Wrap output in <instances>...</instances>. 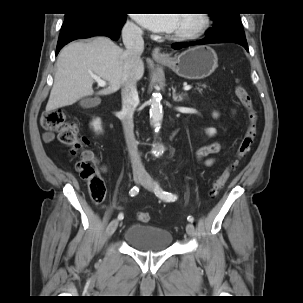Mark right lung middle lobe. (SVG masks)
I'll use <instances>...</instances> for the list:
<instances>
[{"label":"right lung middle lobe","instance_id":"obj_1","mask_svg":"<svg viewBox=\"0 0 303 303\" xmlns=\"http://www.w3.org/2000/svg\"><path fill=\"white\" fill-rule=\"evenodd\" d=\"M91 12H96V13H100L99 11L97 10H90ZM101 14H104V13H101ZM110 15H124V14H110Z\"/></svg>","mask_w":303,"mask_h":303}]
</instances>
